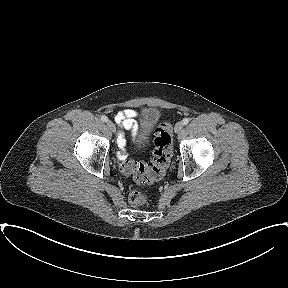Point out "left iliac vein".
Listing matches in <instances>:
<instances>
[{"label": "left iliac vein", "mask_w": 288, "mask_h": 288, "mask_svg": "<svg viewBox=\"0 0 288 288\" xmlns=\"http://www.w3.org/2000/svg\"><path fill=\"white\" fill-rule=\"evenodd\" d=\"M174 130L176 133H180L183 130V123L182 122L176 123Z\"/></svg>", "instance_id": "1"}]
</instances>
